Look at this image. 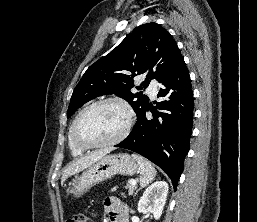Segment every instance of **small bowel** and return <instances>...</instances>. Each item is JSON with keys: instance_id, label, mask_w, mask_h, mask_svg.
<instances>
[{"instance_id": "small-bowel-1", "label": "small bowel", "mask_w": 257, "mask_h": 222, "mask_svg": "<svg viewBox=\"0 0 257 222\" xmlns=\"http://www.w3.org/2000/svg\"><path fill=\"white\" fill-rule=\"evenodd\" d=\"M104 207L110 222H128L127 208L118 199L106 198Z\"/></svg>"}]
</instances>
